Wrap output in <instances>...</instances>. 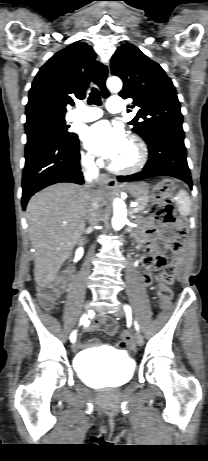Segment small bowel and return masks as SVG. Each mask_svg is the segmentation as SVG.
Segmentation results:
<instances>
[{
    "label": "small bowel",
    "mask_w": 208,
    "mask_h": 461,
    "mask_svg": "<svg viewBox=\"0 0 208 461\" xmlns=\"http://www.w3.org/2000/svg\"><path fill=\"white\" fill-rule=\"evenodd\" d=\"M184 233V229H178V225H155L152 219H146L143 222L142 230L137 233L136 239L145 246L147 251V257L144 261L145 267L141 272L144 284L149 285L151 283V273L158 268L155 264V259L158 256H163V250L168 248L172 242H182ZM69 268L74 270L76 265L71 263ZM66 278V275L61 276L62 280ZM86 328L88 330L101 329L110 335H114L117 330L114 321L110 318L97 320L88 324ZM122 335H128L127 342H131V337L128 333L123 332ZM121 342V337H112L109 345L113 354H122L124 352ZM99 345H101V341L97 338L85 339L78 344L82 349Z\"/></svg>",
    "instance_id": "small-bowel-1"
}]
</instances>
